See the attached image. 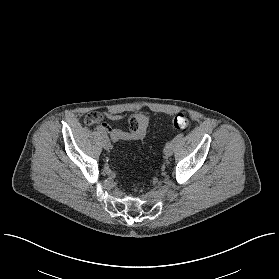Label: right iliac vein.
I'll return each mask as SVG.
<instances>
[{"label": "right iliac vein", "instance_id": "obj_1", "mask_svg": "<svg viewBox=\"0 0 279 279\" xmlns=\"http://www.w3.org/2000/svg\"><path fill=\"white\" fill-rule=\"evenodd\" d=\"M103 147H104V149H106V150H109V149L111 148L110 140H109V138L106 137V136L103 138Z\"/></svg>", "mask_w": 279, "mask_h": 279}]
</instances>
